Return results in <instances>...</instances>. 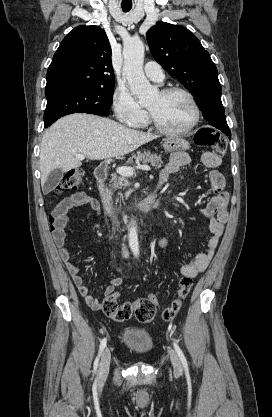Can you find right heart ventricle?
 Instances as JSON below:
<instances>
[{
  "instance_id": "1",
  "label": "right heart ventricle",
  "mask_w": 272,
  "mask_h": 417,
  "mask_svg": "<svg viewBox=\"0 0 272 417\" xmlns=\"http://www.w3.org/2000/svg\"><path fill=\"white\" fill-rule=\"evenodd\" d=\"M145 124V121L144 122H142L140 125H138V126H143Z\"/></svg>"
}]
</instances>
